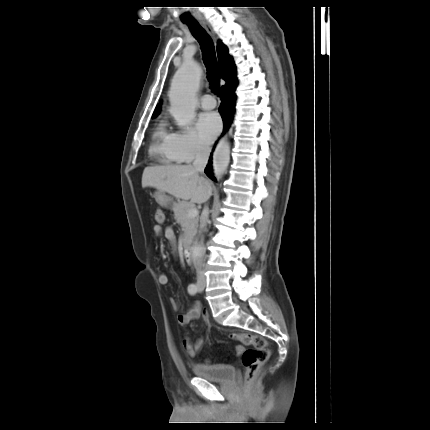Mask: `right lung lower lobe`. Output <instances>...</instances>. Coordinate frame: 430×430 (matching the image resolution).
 Segmentation results:
<instances>
[{
    "label": "right lung lower lobe",
    "instance_id": "obj_1",
    "mask_svg": "<svg viewBox=\"0 0 430 430\" xmlns=\"http://www.w3.org/2000/svg\"><path fill=\"white\" fill-rule=\"evenodd\" d=\"M237 85V84H236ZM236 85L227 87L222 90V103L219 107V111L222 115L223 123H224V131L229 127L231 120L233 118V113L235 110V88ZM205 173L209 178L215 180L212 176V162L211 159L205 169Z\"/></svg>",
    "mask_w": 430,
    "mask_h": 430
}]
</instances>
